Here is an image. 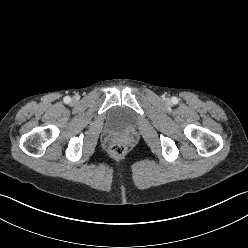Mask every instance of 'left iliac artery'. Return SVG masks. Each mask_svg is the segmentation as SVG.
<instances>
[{
	"label": "left iliac artery",
	"mask_w": 248,
	"mask_h": 248,
	"mask_svg": "<svg viewBox=\"0 0 248 248\" xmlns=\"http://www.w3.org/2000/svg\"><path fill=\"white\" fill-rule=\"evenodd\" d=\"M172 102H173L174 104H176V103H178V99H177L176 97H173V98H172Z\"/></svg>",
	"instance_id": "1"
}]
</instances>
